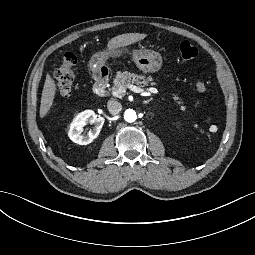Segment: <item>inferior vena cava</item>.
Listing matches in <instances>:
<instances>
[{
  "label": "inferior vena cava",
  "mask_w": 255,
  "mask_h": 255,
  "mask_svg": "<svg viewBox=\"0 0 255 255\" xmlns=\"http://www.w3.org/2000/svg\"><path fill=\"white\" fill-rule=\"evenodd\" d=\"M108 109L111 113L118 114L122 110V105L116 100H109Z\"/></svg>",
  "instance_id": "1"
}]
</instances>
